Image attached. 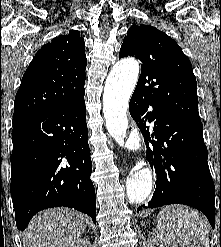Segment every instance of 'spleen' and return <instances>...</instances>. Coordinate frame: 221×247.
Wrapping results in <instances>:
<instances>
[{
	"label": "spleen",
	"mask_w": 221,
	"mask_h": 247,
	"mask_svg": "<svg viewBox=\"0 0 221 247\" xmlns=\"http://www.w3.org/2000/svg\"><path fill=\"white\" fill-rule=\"evenodd\" d=\"M159 235L180 247H209L206 221L195 210L182 205L163 208L158 214Z\"/></svg>",
	"instance_id": "obj_1"
}]
</instances>
